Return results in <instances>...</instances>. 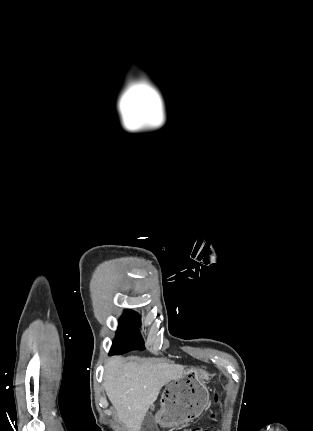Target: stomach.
I'll list each match as a JSON object with an SVG mask.
<instances>
[{"instance_id": "1", "label": "stomach", "mask_w": 313, "mask_h": 431, "mask_svg": "<svg viewBox=\"0 0 313 431\" xmlns=\"http://www.w3.org/2000/svg\"><path fill=\"white\" fill-rule=\"evenodd\" d=\"M210 379L207 372L192 368L179 380L167 384L161 396V408L156 414L159 424L179 426L200 416L209 403L205 383Z\"/></svg>"}]
</instances>
